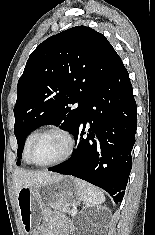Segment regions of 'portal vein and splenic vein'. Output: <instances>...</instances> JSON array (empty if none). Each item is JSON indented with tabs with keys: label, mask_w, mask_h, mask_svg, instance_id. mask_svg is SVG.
<instances>
[{
	"label": "portal vein and splenic vein",
	"mask_w": 155,
	"mask_h": 235,
	"mask_svg": "<svg viewBox=\"0 0 155 235\" xmlns=\"http://www.w3.org/2000/svg\"><path fill=\"white\" fill-rule=\"evenodd\" d=\"M70 212H71L72 214H76V213H77V210H76V209H72Z\"/></svg>",
	"instance_id": "1"
}]
</instances>
